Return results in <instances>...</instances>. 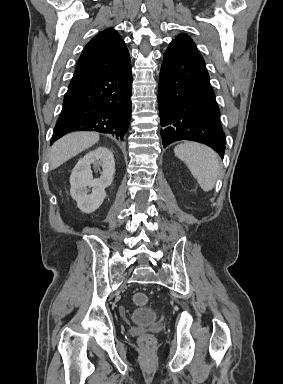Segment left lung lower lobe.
<instances>
[{
	"label": "left lung lower lobe",
	"instance_id": "left-lung-lower-lobe-1",
	"mask_svg": "<svg viewBox=\"0 0 283 384\" xmlns=\"http://www.w3.org/2000/svg\"><path fill=\"white\" fill-rule=\"evenodd\" d=\"M158 106L164 147L178 140H192L210 146L223 158L225 135L220 110L198 51L170 43L160 70Z\"/></svg>",
	"mask_w": 283,
	"mask_h": 384
}]
</instances>
